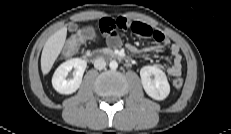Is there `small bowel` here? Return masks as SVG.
<instances>
[{
    "label": "small bowel",
    "mask_w": 231,
    "mask_h": 134,
    "mask_svg": "<svg viewBox=\"0 0 231 134\" xmlns=\"http://www.w3.org/2000/svg\"><path fill=\"white\" fill-rule=\"evenodd\" d=\"M98 29L106 37L107 43L110 46H119L121 44L120 31L130 29L140 37L151 38L162 46L169 47L172 56V63L167 68V73L170 76L181 75L182 55L180 47L175 43H171L170 39L161 31L154 29L146 23L128 20L124 17L116 19L103 18L98 23Z\"/></svg>",
    "instance_id": "obj_1"
}]
</instances>
